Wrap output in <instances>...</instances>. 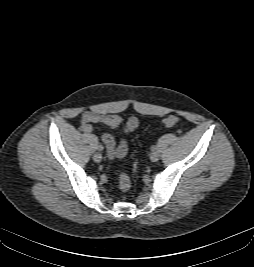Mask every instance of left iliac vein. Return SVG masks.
Wrapping results in <instances>:
<instances>
[{"label": "left iliac vein", "mask_w": 254, "mask_h": 267, "mask_svg": "<svg viewBox=\"0 0 254 267\" xmlns=\"http://www.w3.org/2000/svg\"><path fill=\"white\" fill-rule=\"evenodd\" d=\"M159 158H160V154L157 151H154L150 156V159L152 162H157Z\"/></svg>", "instance_id": "obj_1"}]
</instances>
